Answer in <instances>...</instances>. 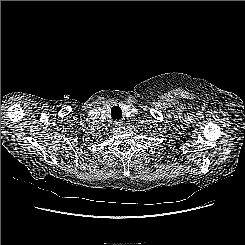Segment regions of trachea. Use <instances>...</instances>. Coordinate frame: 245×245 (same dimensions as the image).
<instances>
[{
  "mask_svg": "<svg viewBox=\"0 0 245 245\" xmlns=\"http://www.w3.org/2000/svg\"><path fill=\"white\" fill-rule=\"evenodd\" d=\"M111 116L113 119L119 120L122 118V111L119 106H113L111 108Z\"/></svg>",
  "mask_w": 245,
  "mask_h": 245,
  "instance_id": "obj_1",
  "label": "trachea"
}]
</instances>
